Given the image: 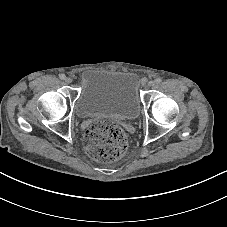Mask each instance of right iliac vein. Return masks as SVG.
Here are the masks:
<instances>
[{"label": "right iliac vein", "instance_id": "1", "mask_svg": "<svg viewBox=\"0 0 227 227\" xmlns=\"http://www.w3.org/2000/svg\"><path fill=\"white\" fill-rule=\"evenodd\" d=\"M65 82H66L67 84H70V83H72V79L69 78V77H67V78L65 79Z\"/></svg>", "mask_w": 227, "mask_h": 227}]
</instances>
